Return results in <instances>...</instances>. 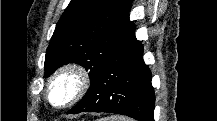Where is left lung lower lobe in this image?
I'll return each mask as SVG.
<instances>
[{"label":"left lung lower lobe","instance_id":"0a47b994","mask_svg":"<svg viewBox=\"0 0 217 121\" xmlns=\"http://www.w3.org/2000/svg\"><path fill=\"white\" fill-rule=\"evenodd\" d=\"M142 55L133 25L99 69L85 96L67 113L111 112L154 121L155 94Z\"/></svg>","mask_w":217,"mask_h":121}]
</instances>
